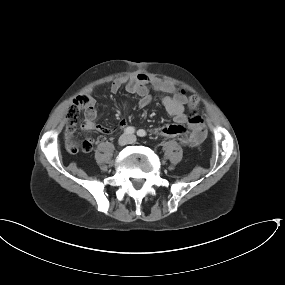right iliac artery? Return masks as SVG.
<instances>
[{
    "instance_id": "1",
    "label": "right iliac artery",
    "mask_w": 285,
    "mask_h": 285,
    "mask_svg": "<svg viewBox=\"0 0 285 285\" xmlns=\"http://www.w3.org/2000/svg\"><path fill=\"white\" fill-rule=\"evenodd\" d=\"M134 132H135V128L131 127V126L125 128V130H124L125 134H133Z\"/></svg>"
}]
</instances>
